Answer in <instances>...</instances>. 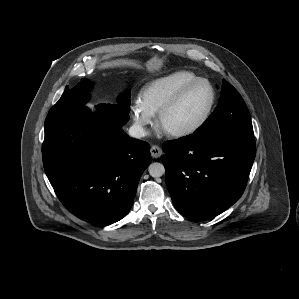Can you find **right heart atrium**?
<instances>
[{
    "instance_id": "right-heart-atrium-1",
    "label": "right heart atrium",
    "mask_w": 299,
    "mask_h": 299,
    "mask_svg": "<svg viewBox=\"0 0 299 299\" xmlns=\"http://www.w3.org/2000/svg\"><path fill=\"white\" fill-rule=\"evenodd\" d=\"M132 116L138 129L146 133L153 124L155 115L148 111L140 102H137L132 107Z\"/></svg>"
}]
</instances>
